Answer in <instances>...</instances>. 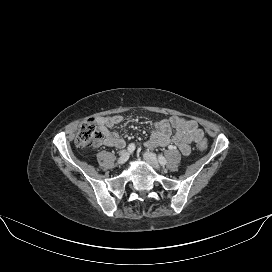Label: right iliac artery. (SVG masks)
Segmentation results:
<instances>
[{
    "mask_svg": "<svg viewBox=\"0 0 272 272\" xmlns=\"http://www.w3.org/2000/svg\"><path fill=\"white\" fill-rule=\"evenodd\" d=\"M134 150H135V144L134 143L129 144L128 151L133 152Z\"/></svg>",
    "mask_w": 272,
    "mask_h": 272,
    "instance_id": "1",
    "label": "right iliac artery"
}]
</instances>
